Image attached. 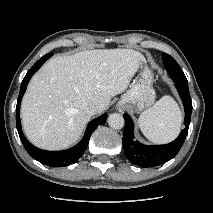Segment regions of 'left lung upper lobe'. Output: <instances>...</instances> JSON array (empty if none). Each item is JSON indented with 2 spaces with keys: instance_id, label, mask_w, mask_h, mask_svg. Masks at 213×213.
<instances>
[{
  "instance_id": "1",
  "label": "left lung upper lobe",
  "mask_w": 213,
  "mask_h": 213,
  "mask_svg": "<svg viewBox=\"0 0 213 213\" xmlns=\"http://www.w3.org/2000/svg\"><path fill=\"white\" fill-rule=\"evenodd\" d=\"M163 63L170 77L175 83L188 85L187 79L178 63L168 54L163 53Z\"/></svg>"
}]
</instances>
